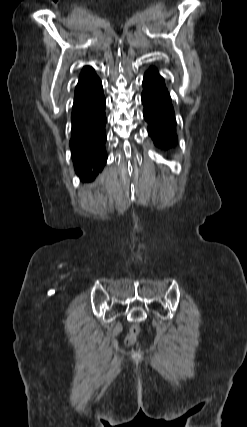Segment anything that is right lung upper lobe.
<instances>
[{"label":"right lung upper lobe","instance_id":"1","mask_svg":"<svg viewBox=\"0 0 247 427\" xmlns=\"http://www.w3.org/2000/svg\"><path fill=\"white\" fill-rule=\"evenodd\" d=\"M90 71H92V68L89 67V66H86V67L83 68L82 73H81L80 76L85 75V74L89 73Z\"/></svg>","mask_w":247,"mask_h":427}]
</instances>
